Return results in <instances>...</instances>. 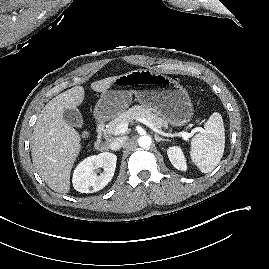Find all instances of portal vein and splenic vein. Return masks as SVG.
Wrapping results in <instances>:
<instances>
[{"label": "portal vein and splenic vein", "instance_id": "18ae733b", "mask_svg": "<svg viewBox=\"0 0 269 269\" xmlns=\"http://www.w3.org/2000/svg\"><path fill=\"white\" fill-rule=\"evenodd\" d=\"M137 120L139 122L144 123L145 125H147L148 127H150L151 129H153L155 132H157L159 134H162L164 136H167L168 135V134L160 131L157 127L154 126L153 123H151L150 121H148L145 118H138ZM127 130H128V123H121L116 128L117 134H124V133L127 132ZM196 132H202V128H200V127L194 128L190 133L185 132V131H181L177 135L178 136H181V137H183L185 139H188V138L192 137Z\"/></svg>", "mask_w": 269, "mask_h": 269}]
</instances>
